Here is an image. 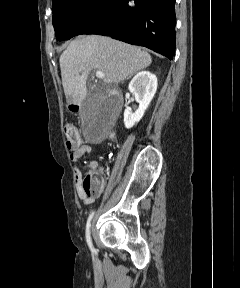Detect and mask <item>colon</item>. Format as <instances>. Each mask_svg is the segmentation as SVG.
I'll use <instances>...</instances> for the list:
<instances>
[{
  "label": "colon",
  "instance_id": "1",
  "mask_svg": "<svg viewBox=\"0 0 240 288\" xmlns=\"http://www.w3.org/2000/svg\"><path fill=\"white\" fill-rule=\"evenodd\" d=\"M64 132L67 139V146L69 149L74 150L78 148L82 139L77 130V128L72 124L67 122L64 125ZM83 192L87 197H92L96 195L100 191V180L96 175H87L85 178L83 185Z\"/></svg>",
  "mask_w": 240,
  "mask_h": 288
}]
</instances>
